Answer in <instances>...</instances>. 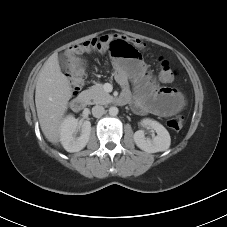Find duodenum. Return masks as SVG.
Segmentation results:
<instances>
[{"label": "duodenum", "mask_w": 227, "mask_h": 227, "mask_svg": "<svg viewBox=\"0 0 227 227\" xmlns=\"http://www.w3.org/2000/svg\"><path fill=\"white\" fill-rule=\"evenodd\" d=\"M117 101L120 104H124V100L121 97H119ZM88 102H89V96L86 93H80L72 99L71 108L74 111L79 112L86 107Z\"/></svg>", "instance_id": "1"}]
</instances>
